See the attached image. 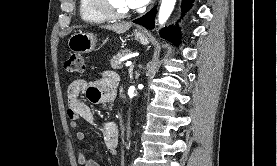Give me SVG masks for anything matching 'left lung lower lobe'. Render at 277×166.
I'll list each match as a JSON object with an SVG mask.
<instances>
[{"label": "left lung lower lobe", "mask_w": 277, "mask_h": 166, "mask_svg": "<svg viewBox=\"0 0 277 166\" xmlns=\"http://www.w3.org/2000/svg\"><path fill=\"white\" fill-rule=\"evenodd\" d=\"M194 0H182V11L183 15L184 13L190 9L192 6ZM156 15V9L153 8L148 13H146L144 16L134 20V23L140 24L142 26H145L149 29H153L154 27V18ZM160 36L164 39L172 41L175 45H178L180 40V29L177 28H164L160 31Z\"/></svg>", "instance_id": "left-lung-lower-lobe-1"}]
</instances>
